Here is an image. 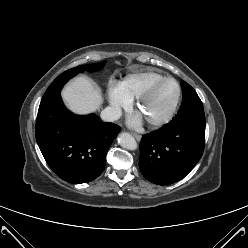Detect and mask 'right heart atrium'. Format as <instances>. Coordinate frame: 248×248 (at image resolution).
I'll list each match as a JSON object with an SVG mask.
<instances>
[{
    "label": "right heart atrium",
    "mask_w": 248,
    "mask_h": 248,
    "mask_svg": "<svg viewBox=\"0 0 248 248\" xmlns=\"http://www.w3.org/2000/svg\"><path fill=\"white\" fill-rule=\"evenodd\" d=\"M108 99L115 114L130 105V99L123 93L121 85L114 81H110L108 85Z\"/></svg>",
    "instance_id": "right-heart-atrium-1"
}]
</instances>
